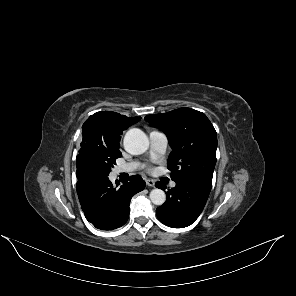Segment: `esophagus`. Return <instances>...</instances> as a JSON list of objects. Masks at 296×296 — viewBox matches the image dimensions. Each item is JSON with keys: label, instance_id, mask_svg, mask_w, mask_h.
Masks as SVG:
<instances>
[{"label": "esophagus", "instance_id": "1", "mask_svg": "<svg viewBox=\"0 0 296 296\" xmlns=\"http://www.w3.org/2000/svg\"><path fill=\"white\" fill-rule=\"evenodd\" d=\"M146 184H147V186H150V187H154L155 186V182L152 179L146 180Z\"/></svg>", "mask_w": 296, "mask_h": 296}]
</instances>
